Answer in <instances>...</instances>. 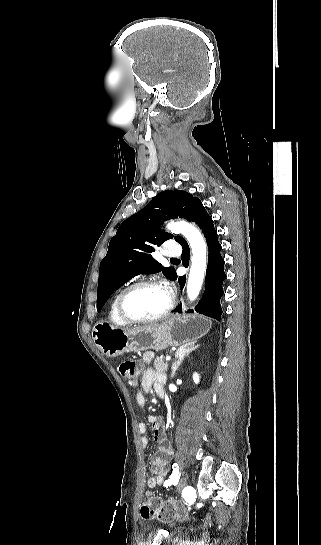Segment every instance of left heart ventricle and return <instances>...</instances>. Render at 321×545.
<instances>
[{"label": "left heart ventricle", "instance_id": "obj_1", "mask_svg": "<svg viewBox=\"0 0 321 545\" xmlns=\"http://www.w3.org/2000/svg\"><path fill=\"white\" fill-rule=\"evenodd\" d=\"M169 295L162 289L140 288L129 292L123 302L127 316L134 320L150 318L164 312Z\"/></svg>", "mask_w": 321, "mask_h": 545}]
</instances>
